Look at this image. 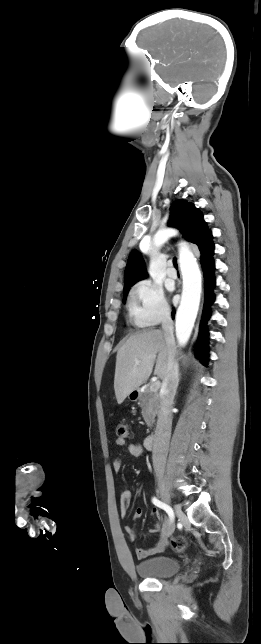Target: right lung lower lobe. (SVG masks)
<instances>
[{"label":"right lung lower lobe","instance_id":"1","mask_svg":"<svg viewBox=\"0 0 261 644\" xmlns=\"http://www.w3.org/2000/svg\"><path fill=\"white\" fill-rule=\"evenodd\" d=\"M202 269L204 272V306L202 312V319L199 326V337L195 345V354L199 357L203 364H207L208 361V329L207 322L210 318V306L215 300L213 293V288L215 287V277L214 270L215 264L212 257H209L201 261ZM175 310L172 311V318L174 319Z\"/></svg>","mask_w":261,"mask_h":644}]
</instances>
